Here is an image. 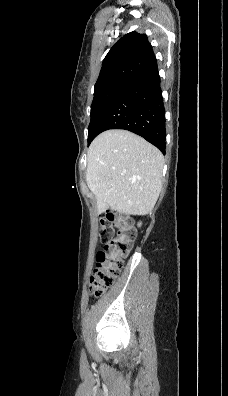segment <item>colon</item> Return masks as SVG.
<instances>
[{"mask_svg":"<svg viewBox=\"0 0 228 396\" xmlns=\"http://www.w3.org/2000/svg\"><path fill=\"white\" fill-rule=\"evenodd\" d=\"M100 235L104 241L103 248L97 254L89 285L95 297L101 296L114 284L121 271L123 258L131 249L135 233L121 216L107 211L101 220Z\"/></svg>","mask_w":228,"mask_h":396,"instance_id":"obj_1","label":"colon"}]
</instances>
